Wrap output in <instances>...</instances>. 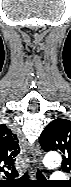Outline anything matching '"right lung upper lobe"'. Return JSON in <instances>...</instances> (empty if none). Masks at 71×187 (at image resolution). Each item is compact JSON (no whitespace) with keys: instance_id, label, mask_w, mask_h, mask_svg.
Listing matches in <instances>:
<instances>
[{"instance_id":"obj_1","label":"right lung upper lobe","mask_w":71,"mask_h":187,"mask_svg":"<svg viewBox=\"0 0 71 187\" xmlns=\"http://www.w3.org/2000/svg\"><path fill=\"white\" fill-rule=\"evenodd\" d=\"M19 153L20 147L17 136L5 124L0 125V159L14 175L17 174V171L14 170V164Z\"/></svg>"}]
</instances>
